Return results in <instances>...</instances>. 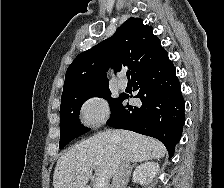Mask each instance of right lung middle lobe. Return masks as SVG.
<instances>
[{"instance_id":"dd1d6c3e","label":"right lung middle lobe","mask_w":224,"mask_h":188,"mask_svg":"<svg viewBox=\"0 0 224 188\" xmlns=\"http://www.w3.org/2000/svg\"><path fill=\"white\" fill-rule=\"evenodd\" d=\"M91 97L105 98L110 103L112 111L121 100L122 94L118 98H112L108 85L62 94L60 106V149L74 138L89 131V129L80 124L79 111L82 104Z\"/></svg>"}]
</instances>
